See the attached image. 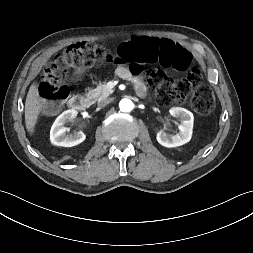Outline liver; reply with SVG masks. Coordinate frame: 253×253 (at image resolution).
<instances>
[{
	"mask_svg": "<svg viewBox=\"0 0 253 253\" xmlns=\"http://www.w3.org/2000/svg\"><path fill=\"white\" fill-rule=\"evenodd\" d=\"M41 101L36 85L32 84L25 101V123L30 134L34 132L41 111Z\"/></svg>",
	"mask_w": 253,
	"mask_h": 253,
	"instance_id": "liver-1",
	"label": "liver"
}]
</instances>
